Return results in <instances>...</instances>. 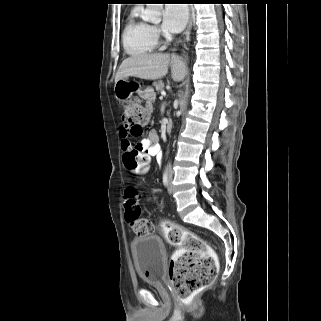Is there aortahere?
Masks as SVG:
<instances>
[{
    "label": "aorta",
    "mask_w": 321,
    "mask_h": 321,
    "mask_svg": "<svg viewBox=\"0 0 321 321\" xmlns=\"http://www.w3.org/2000/svg\"><path fill=\"white\" fill-rule=\"evenodd\" d=\"M162 4H147L142 18L146 21L157 22L161 19Z\"/></svg>",
    "instance_id": "aorta-1"
}]
</instances>
